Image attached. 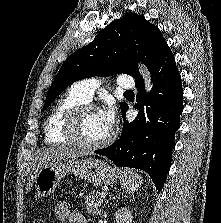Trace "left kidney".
Segmentation results:
<instances>
[{
	"label": "left kidney",
	"mask_w": 221,
	"mask_h": 223,
	"mask_svg": "<svg viewBox=\"0 0 221 223\" xmlns=\"http://www.w3.org/2000/svg\"><path fill=\"white\" fill-rule=\"evenodd\" d=\"M116 223H132L133 216L132 212L128 208H121L119 209L116 214Z\"/></svg>",
	"instance_id": "1"
}]
</instances>
